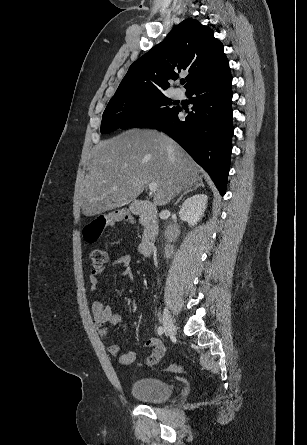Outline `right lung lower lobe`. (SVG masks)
Here are the masks:
<instances>
[{"instance_id": "98d812e1", "label": "right lung lower lobe", "mask_w": 307, "mask_h": 445, "mask_svg": "<svg viewBox=\"0 0 307 445\" xmlns=\"http://www.w3.org/2000/svg\"><path fill=\"white\" fill-rule=\"evenodd\" d=\"M232 76L229 62L199 81L186 94L192 112L178 118L179 107L164 120L149 127L165 132L178 142L211 176L221 195L225 194L232 151Z\"/></svg>"}]
</instances>
